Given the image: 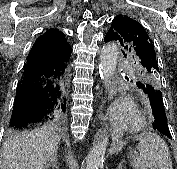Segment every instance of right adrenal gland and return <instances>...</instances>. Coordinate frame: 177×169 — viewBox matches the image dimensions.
Returning a JSON list of instances; mask_svg holds the SVG:
<instances>
[{
	"label": "right adrenal gland",
	"instance_id": "1",
	"mask_svg": "<svg viewBox=\"0 0 177 169\" xmlns=\"http://www.w3.org/2000/svg\"><path fill=\"white\" fill-rule=\"evenodd\" d=\"M55 159L53 160L52 163H50L47 168H56V169H59V166L57 164V152L55 153Z\"/></svg>",
	"mask_w": 177,
	"mask_h": 169
}]
</instances>
